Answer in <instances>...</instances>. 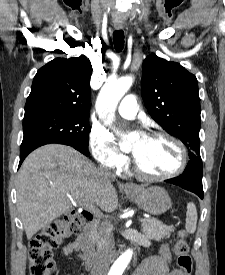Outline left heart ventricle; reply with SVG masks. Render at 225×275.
Segmentation results:
<instances>
[{
	"mask_svg": "<svg viewBox=\"0 0 225 275\" xmlns=\"http://www.w3.org/2000/svg\"><path fill=\"white\" fill-rule=\"evenodd\" d=\"M132 152L141 169L153 175L173 171L180 160L177 147L163 138H138L132 145Z\"/></svg>",
	"mask_w": 225,
	"mask_h": 275,
	"instance_id": "left-heart-ventricle-1",
	"label": "left heart ventricle"
}]
</instances>
